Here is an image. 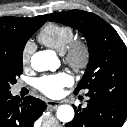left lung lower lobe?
<instances>
[{
  "instance_id": "1",
  "label": "left lung lower lobe",
  "mask_w": 127,
  "mask_h": 127,
  "mask_svg": "<svg viewBox=\"0 0 127 127\" xmlns=\"http://www.w3.org/2000/svg\"><path fill=\"white\" fill-rule=\"evenodd\" d=\"M86 108L74 106L66 127H122L127 116V89L103 87L87 93Z\"/></svg>"
}]
</instances>
